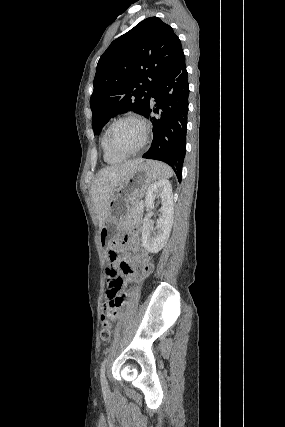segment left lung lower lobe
Wrapping results in <instances>:
<instances>
[{"label": "left lung lower lobe", "mask_w": 285, "mask_h": 427, "mask_svg": "<svg viewBox=\"0 0 285 427\" xmlns=\"http://www.w3.org/2000/svg\"><path fill=\"white\" fill-rule=\"evenodd\" d=\"M183 50L154 88L144 116L153 123L151 148L142 156L172 167L181 182L186 154L189 87ZM152 101L155 107L152 109ZM158 114L152 117L151 112Z\"/></svg>", "instance_id": "0a47b994"}]
</instances>
